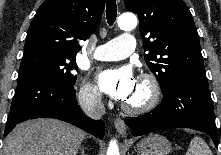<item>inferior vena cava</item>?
Returning a JSON list of instances; mask_svg holds the SVG:
<instances>
[{"instance_id": "inferior-vena-cava-1", "label": "inferior vena cava", "mask_w": 221, "mask_h": 155, "mask_svg": "<svg viewBox=\"0 0 221 155\" xmlns=\"http://www.w3.org/2000/svg\"><path fill=\"white\" fill-rule=\"evenodd\" d=\"M79 104L84 113L93 119H100L105 114L101 94L97 90H91L81 94L79 96Z\"/></svg>"}]
</instances>
